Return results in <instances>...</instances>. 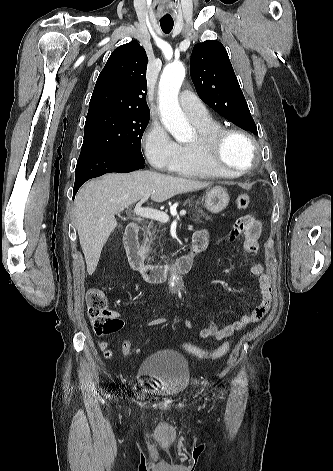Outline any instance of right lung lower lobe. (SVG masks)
Instances as JSON below:
<instances>
[{
	"mask_svg": "<svg viewBox=\"0 0 333 471\" xmlns=\"http://www.w3.org/2000/svg\"><path fill=\"white\" fill-rule=\"evenodd\" d=\"M144 167V162L113 153L80 154L75 169L73 199L80 186L91 178L110 172L128 173Z\"/></svg>",
	"mask_w": 333,
	"mask_h": 471,
	"instance_id": "1",
	"label": "right lung lower lobe"
}]
</instances>
